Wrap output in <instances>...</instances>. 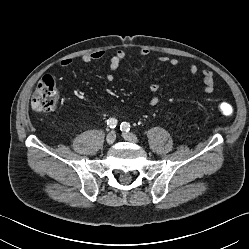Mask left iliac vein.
<instances>
[{
    "mask_svg": "<svg viewBox=\"0 0 249 249\" xmlns=\"http://www.w3.org/2000/svg\"><path fill=\"white\" fill-rule=\"evenodd\" d=\"M123 138L129 142L138 143V138L133 133H123Z\"/></svg>",
    "mask_w": 249,
    "mask_h": 249,
    "instance_id": "4c4485c4",
    "label": "left iliac vein"
}]
</instances>
